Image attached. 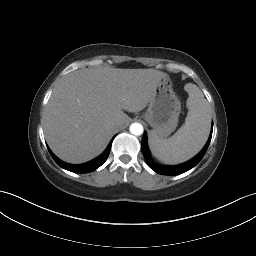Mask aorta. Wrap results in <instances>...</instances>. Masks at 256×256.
Masks as SVG:
<instances>
[{"instance_id":"1","label":"aorta","mask_w":256,"mask_h":256,"mask_svg":"<svg viewBox=\"0 0 256 256\" xmlns=\"http://www.w3.org/2000/svg\"><path fill=\"white\" fill-rule=\"evenodd\" d=\"M130 132L136 136L142 135L143 126L140 123H133L130 125Z\"/></svg>"}]
</instances>
